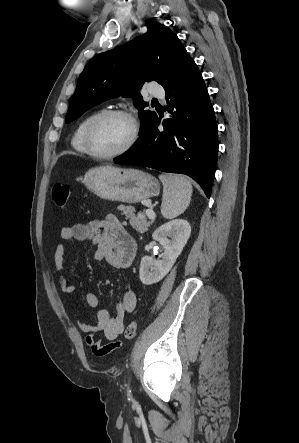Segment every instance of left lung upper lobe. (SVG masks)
Listing matches in <instances>:
<instances>
[{
    "instance_id": "obj_1",
    "label": "left lung upper lobe",
    "mask_w": 299,
    "mask_h": 443,
    "mask_svg": "<svg viewBox=\"0 0 299 443\" xmlns=\"http://www.w3.org/2000/svg\"><path fill=\"white\" fill-rule=\"evenodd\" d=\"M194 64L177 35L163 24L153 23L146 34L116 49L100 53L85 66L70 99L66 123L92 107L118 96L133 97L139 110L140 132L156 113L144 110L148 103L137 91L146 81L164 88Z\"/></svg>"
}]
</instances>
